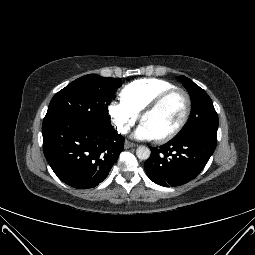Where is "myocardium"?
I'll use <instances>...</instances> for the list:
<instances>
[{
    "mask_svg": "<svg viewBox=\"0 0 255 255\" xmlns=\"http://www.w3.org/2000/svg\"><path fill=\"white\" fill-rule=\"evenodd\" d=\"M175 93H181L185 98L186 107H185L184 114H183L180 122L178 123V125L173 130H171L170 132H168L167 134H165L161 137L156 138V140L158 142H167V141L173 139L174 137H176L182 131V129L188 122V119L191 114L192 101H191L190 94L188 93V91H186L183 88L174 87L172 89L166 90L163 93L159 94L141 112V121H143L145 116H147L149 113L156 110L167 98H169L170 96H172Z\"/></svg>",
    "mask_w": 255,
    "mask_h": 255,
    "instance_id": "1",
    "label": "myocardium"
}]
</instances>
